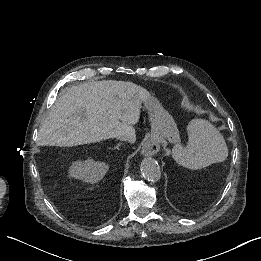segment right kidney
<instances>
[{
	"label": "right kidney",
	"instance_id": "right-kidney-1",
	"mask_svg": "<svg viewBox=\"0 0 261 261\" xmlns=\"http://www.w3.org/2000/svg\"><path fill=\"white\" fill-rule=\"evenodd\" d=\"M109 166L104 162H96L92 159L75 161L69 169V174L75 179L88 183L99 182L108 171Z\"/></svg>",
	"mask_w": 261,
	"mask_h": 261
}]
</instances>
